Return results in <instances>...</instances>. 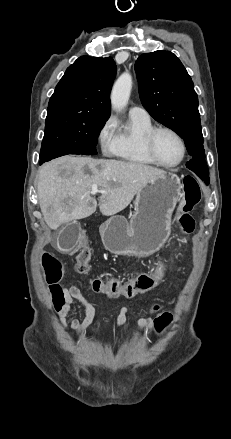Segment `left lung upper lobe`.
Listing matches in <instances>:
<instances>
[{
  "label": "left lung upper lobe",
  "instance_id": "1",
  "mask_svg": "<svg viewBox=\"0 0 231 439\" xmlns=\"http://www.w3.org/2000/svg\"><path fill=\"white\" fill-rule=\"evenodd\" d=\"M135 71L144 108L184 139L192 157L186 167L208 184L198 97L183 64L172 52L158 50L142 54Z\"/></svg>",
  "mask_w": 231,
  "mask_h": 439
}]
</instances>
